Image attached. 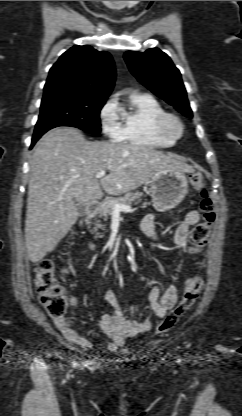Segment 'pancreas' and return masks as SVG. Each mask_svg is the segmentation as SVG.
<instances>
[{
  "instance_id": "1",
  "label": "pancreas",
  "mask_w": 242,
  "mask_h": 416,
  "mask_svg": "<svg viewBox=\"0 0 242 416\" xmlns=\"http://www.w3.org/2000/svg\"><path fill=\"white\" fill-rule=\"evenodd\" d=\"M143 196V193L141 192H129L126 193L123 197H118V198H109L107 199L104 203H102L96 213L95 216H97L96 223H95V230L99 227H101L102 225L99 224V218H103L104 220H107L109 216H111L114 212V205L116 203H120V204H124V205H128V206H132L133 204H137L139 202H141V197ZM149 203L144 202L142 203V207L146 208L147 205Z\"/></svg>"
}]
</instances>
